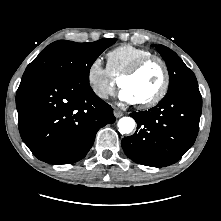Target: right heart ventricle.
Here are the masks:
<instances>
[{
	"label": "right heart ventricle",
	"mask_w": 221,
	"mask_h": 221,
	"mask_svg": "<svg viewBox=\"0 0 221 221\" xmlns=\"http://www.w3.org/2000/svg\"><path fill=\"white\" fill-rule=\"evenodd\" d=\"M150 54L146 48L122 44L107 53V69L113 78H119L133 63Z\"/></svg>",
	"instance_id": "e07e8e85"
}]
</instances>
